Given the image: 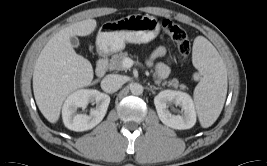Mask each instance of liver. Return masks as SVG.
Returning a JSON list of instances; mask_svg holds the SVG:
<instances>
[{
  "label": "liver",
  "mask_w": 267,
  "mask_h": 166,
  "mask_svg": "<svg viewBox=\"0 0 267 166\" xmlns=\"http://www.w3.org/2000/svg\"><path fill=\"white\" fill-rule=\"evenodd\" d=\"M96 26V20L87 19L60 30L47 42L35 63L34 97L39 110L50 123L58 121L68 95L92 84L93 67L74 51L70 38L90 35Z\"/></svg>",
  "instance_id": "obj_1"
}]
</instances>
